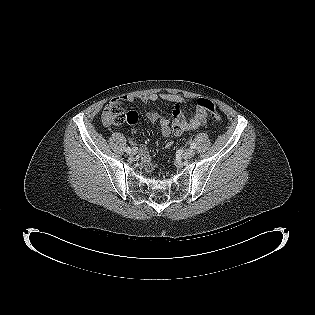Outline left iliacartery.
I'll return each instance as SVG.
<instances>
[{
    "label": "left iliac artery",
    "instance_id": "44dca946",
    "mask_svg": "<svg viewBox=\"0 0 315 315\" xmlns=\"http://www.w3.org/2000/svg\"><path fill=\"white\" fill-rule=\"evenodd\" d=\"M190 147H191L192 149H194V148L196 147V144H195V143H191Z\"/></svg>",
    "mask_w": 315,
    "mask_h": 315
}]
</instances>
